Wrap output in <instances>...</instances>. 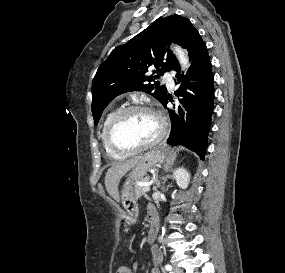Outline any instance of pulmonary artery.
Here are the masks:
<instances>
[{
    "mask_svg": "<svg viewBox=\"0 0 285 273\" xmlns=\"http://www.w3.org/2000/svg\"><path fill=\"white\" fill-rule=\"evenodd\" d=\"M163 80L167 83L169 88H173V79L170 71H166L163 75Z\"/></svg>",
    "mask_w": 285,
    "mask_h": 273,
    "instance_id": "pulmonary-artery-1",
    "label": "pulmonary artery"
}]
</instances>
